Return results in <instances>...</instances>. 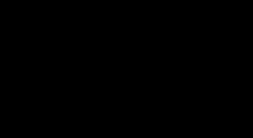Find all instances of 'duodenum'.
Masks as SVG:
<instances>
[{
    "mask_svg": "<svg viewBox=\"0 0 253 138\" xmlns=\"http://www.w3.org/2000/svg\"><path fill=\"white\" fill-rule=\"evenodd\" d=\"M125 33V29L123 28H118V29H113V30H106L105 31V34L108 36V37H114V36H118V35H121Z\"/></svg>",
    "mask_w": 253,
    "mask_h": 138,
    "instance_id": "obj_1",
    "label": "duodenum"
}]
</instances>
